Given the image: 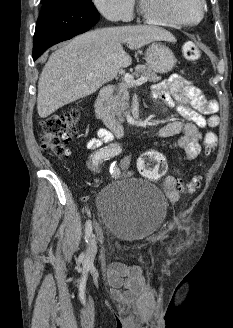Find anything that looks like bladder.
Masks as SVG:
<instances>
[{
    "label": "bladder",
    "instance_id": "1",
    "mask_svg": "<svg viewBox=\"0 0 233 328\" xmlns=\"http://www.w3.org/2000/svg\"><path fill=\"white\" fill-rule=\"evenodd\" d=\"M102 228L119 240L140 241L163 224L168 201L153 184L144 180L113 182L97 196Z\"/></svg>",
    "mask_w": 233,
    "mask_h": 328
}]
</instances>
